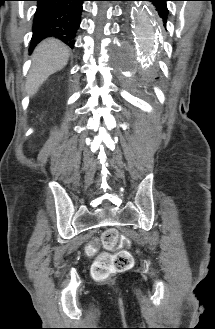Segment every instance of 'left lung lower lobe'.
Segmentation results:
<instances>
[{"label":"left lung lower lobe","instance_id":"1","mask_svg":"<svg viewBox=\"0 0 215 329\" xmlns=\"http://www.w3.org/2000/svg\"><path fill=\"white\" fill-rule=\"evenodd\" d=\"M132 1H150L156 7V10L159 13V16L163 19L164 27L166 26V20L168 15V9L166 6L167 1L171 0H132Z\"/></svg>","mask_w":215,"mask_h":329}]
</instances>
